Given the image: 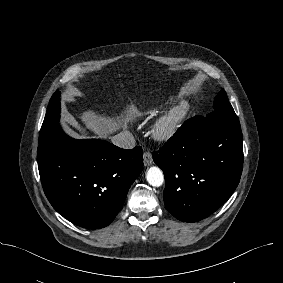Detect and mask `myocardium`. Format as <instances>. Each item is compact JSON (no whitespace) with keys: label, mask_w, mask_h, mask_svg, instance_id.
<instances>
[{"label":"myocardium","mask_w":283,"mask_h":283,"mask_svg":"<svg viewBox=\"0 0 283 283\" xmlns=\"http://www.w3.org/2000/svg\"><path fill=\"white\" fill-rule=\"evenodd\" d=\"M188 109V103L182 101L163 112L152 125L153 138L158 141H166L171 138L181 126Z\"/></svg>","instance_id":"obj_1"}]
</instances>
